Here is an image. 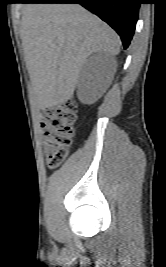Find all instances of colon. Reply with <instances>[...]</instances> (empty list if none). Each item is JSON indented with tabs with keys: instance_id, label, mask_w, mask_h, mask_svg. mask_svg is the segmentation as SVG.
I'll return each instance as SVG.
<instances>
[{
	"instance_id": "colon-1",
	"label": "colon",
	"mask_w": 166,
	"mask_h": 267,
	"mask_svg": "<svg viewBox=\"0 0 166 267\" xmlns=\"http://www.w3.org/2000/svg\"><path fill=\"white\" fill-rule=\"evenodd\" d=\"M77 104L68 100L46 109L42 127L46 129L44 146L49 168L60 166L67 157L77 120Z\"/></svg>"
}]
</instances>
